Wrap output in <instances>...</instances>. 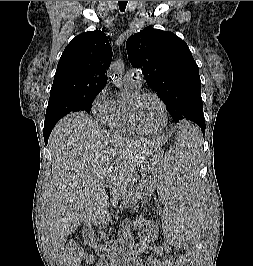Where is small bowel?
I'll list each match as a JSON object with an SVG mask.
<instances>
[{
	"mask_svg": "<svg viewBox=\"0 0 253 266\" xmlns=\"http://www.w3.org/2000/svg\"><path fill=\"white\" fill-rule=\"evenodd\" d=\"M154 253L161 256V259L154 257L149 258L144 263V266H178V260L174 258L172 253L163 248L156 247L154 248ZM138 252L136 251H123L118 257V265L120 266H142V263L139 260ZM107 260L110 261L109 257L102 258L100 261L95 263V266H108Z\"/></svg>",
	"mask_w": 253,
	"mask_h": 266,
	"instance_id": "obj_1",
	"label": "small bowel"
}]
</instances>
